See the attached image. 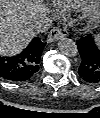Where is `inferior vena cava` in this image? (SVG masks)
Instances as JSON below:
<instances>
[{
  "label": "inferior vena cava",
  "mask_w": 100,
  "mask_h": 118,
  "mask_svg": "<svg viewBox=\"0 0 100 118\" xmlns=\"http://www.w3.org/2000/svg\"><path fill=\"white\" fill-rule=\"evenodd\" d=\"M52 26V19L49 17H41L32 23V30L36 33L47 32Z\"/></svg>",
  "instance_id": "602c4592"
}]
</instances>
